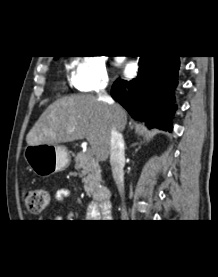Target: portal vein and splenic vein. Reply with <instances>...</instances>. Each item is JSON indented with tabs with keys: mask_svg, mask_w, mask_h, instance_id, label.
<instances>
[{
	"mask_svg": "<svg viewBox=\"0 0 218 277\" xmlns=\"http://www.w3.org/2000/svg\"><path fill=\"white\" fill-rule=\"evenodd\" d=\"M87 152L92 153L93 151H92V149H88V151H87Z\"/></svg>",
	"mask_w": 218,
	"mask_h": 277,
	"instance_id": "obj_1",
	"label": "portal vein and splenic vein"
}]
</instances>
